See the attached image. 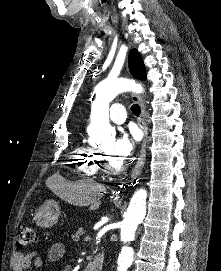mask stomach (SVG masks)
Here are the masks:
<instances>
[{
  "mask_svg": "<svg viewBox=\"0 0 221 271\" xmlns=\"http://www.w3.org/2000/svg\"><path fill=\"white\" fill-rule=\"evenodd\" d=\"M59 215V203H57V201H45V203L35 211L33 219L35 223L41 225V227H50V225H55Z\"/></svg>",
  "mask_w": 221,
  "mask_h": 271,
  "instance_id": "1",
  "label": "stomach"
}]
</instances>
